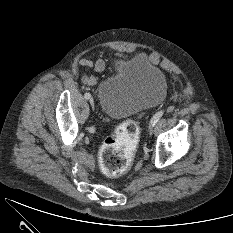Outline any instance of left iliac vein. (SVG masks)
<instances>
[{
    "label": "left iliac vein",
    "mask_w": 233,
    "mask_h": 233,
    "mask_svg": "<svg viewBox=\"0 0 233 233\" xmlns=\"http://www.w3.org/2000/svg\"><path fill=\"white\" fill-rule=\"evenodd\" d=\"M153 127H154V126L150 124V128H149V134H150V135H152V133H153Z\"/></svg>",
    "instance_id": "obj_1"
}]
</instances>
